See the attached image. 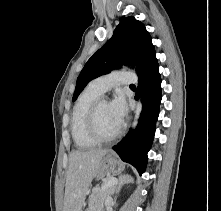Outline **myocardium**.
<instances>
[{
    "label": "myocardium",
    "instance_id": "myocardium-1",
    "mask_svg": "<svg viewBox=\"0 0 221 211\" xmlns=\"http://www.w3.org/2000/svg\"><path fill=\"white\" fill-rule=\"evenodd\" d=\"M105 101H106V99L103 97L98 98L91 105V107L88 111V114H87V118H86L87 133L97 143L111 142V141L117 139L122 133L121 128H119V130L117 132H115L114 134H112L110 136H103L100 133V131L98 129V124H97V114H98V110H99L100 105Z\"/></svg>",
    "mask_w": 221,
    "mask_h": 211
}]
</instances>
